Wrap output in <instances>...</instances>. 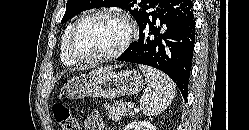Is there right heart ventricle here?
<instances>
[{
    "mask_svg": "<svg viewBox=\"0 0 249 130\" xmlns=\"http://www.w3.org/2000/svg\"><path fill=\"white\" fill-rule=\"evenodd\" d=\"M72 26H73V23L67 26V28L65 29V31L62 35V38H61L60 57H61L62 62L65 65H74L75 64V61L70 58V56L67 53V49H66L67 40H68L70 31L72 29Z\"/></svg>",
    "mask_w": 249,
    "mask_h": 130,
    "instance_id": "e07e8e85",
    "label": "right heart ventricle"
}]
</instances>
